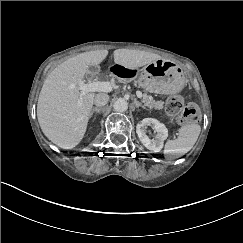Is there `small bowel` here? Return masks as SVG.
<instances>
[{
    "instance_id": "small-bowel-1",
    "label": "small bowel",
    "mask_w": 243,
    "mask_h": 243,
    "mask_svg": "<svg viewBox=\"0 0 243 243\" xmlns=\"http://www.w3.org/2000/svg\"><path fill=\"white\" fill-rule=\"evenodd\" d=\"M103 64H105V65H114V64H116V62H115V59L112 56L107 55L103 59Z\"/></svg>"
}]
</instances>
